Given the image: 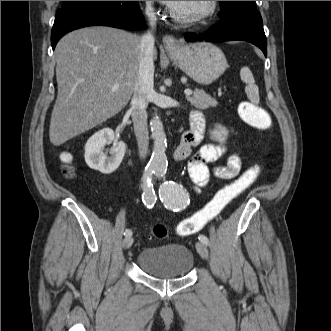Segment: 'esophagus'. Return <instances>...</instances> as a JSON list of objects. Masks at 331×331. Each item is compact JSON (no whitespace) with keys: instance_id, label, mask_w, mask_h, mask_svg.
I'll list each match as a JSON object with an SVG mask.
<instances>
[{"instance_id":"obj_1","label":"esophagus","mask_w":331,"mask_h":331,"mask_svg":"<svg viewBox=\"0 0 331 331\" xmlns=\"http://www.w3.org/2000/svg\"><path fill=\"white\" fill-rule=\"evenodd\" d=\"M163 44L167 51L174 52L180 46L179 41L171 35H165L163 37Z\"/></svg>"}]
</instances>
